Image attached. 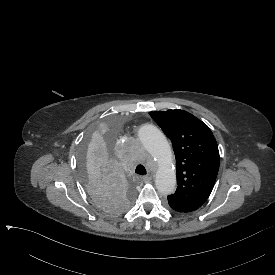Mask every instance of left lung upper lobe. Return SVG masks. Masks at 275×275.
<instances>
[{
  "instance_id": "5c2ea615",
  "label": "left lung upper lobe",
  "mask_w": 275,
  "mask_h": 275,
  "mask_svg": "<svg viewBox=\"0 0 275 275\" xmlns=\"http://www.w3.org/2000/svg\"><path fill=\"white\" fill-rule=\"evenodd\" d=\"M172 141L178 187L167 197L180 212L198 209L209 197L219 169V151L208 126L183 110L149 113Z\"/></svg>"
}]
</instances>
